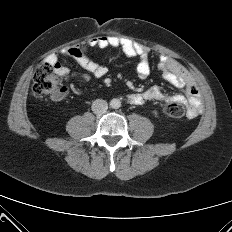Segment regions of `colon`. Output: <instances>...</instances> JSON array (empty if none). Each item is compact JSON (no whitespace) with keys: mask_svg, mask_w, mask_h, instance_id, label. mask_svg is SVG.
I'll return each mask as SVG.
<instances>
[{"mask_svg":"<svg viewBox=\"0 0 232 232\" xmlns=\"http://www.w3.org/2000/svg\"><path fill=\"white\" fill-rule=\"evenodd\" d=\"M73 57L82 55L81 47H73L68 50ZM62 90L59 79L54 74V65L51 62H43L37 66L33 76L32 94L37 98L58 95ZM162 111L171 118H180L185 114L182 103L166 101L162 105Z\"/></svg>","mask_w":232,"mask_h":232,"instance_id":"obj_1","label":"colon"}]
</instances>
